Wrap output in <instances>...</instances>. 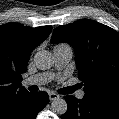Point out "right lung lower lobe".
<instances>
[{
    "instance_id": "98d812e1",
    "label": "right lung lower lobe",
    "mask_w": 119,
    "mask_h": 119,
    "mask_svg": "<svg viewBox=\"0 0 119 119\" xmlns=\"http://www.w3.org/2000/svg\"><path fill=\"white\" fill-rule=\"evenodd\" d=\"M48 102L49 96L46 92L31 93L7 119H36L38 112H40Z\"/></svg>"
}]
</instances>
